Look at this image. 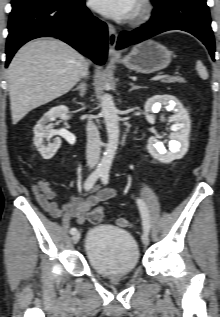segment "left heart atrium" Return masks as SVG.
<instances>
[{
    "instance_id": "obj_1",
    "label": "left heart atrium",
    "mask_w": 220,
    "mask_h": 317,
    "mask_svg": "<svg viewBox=\"0 0 220 317\" xmlns=\"http://www.w3.org/2000/svg\"><path fill=\"white\" fill-rule=\"evenodd\" d=\"M138 0H89L90 6L99 13L114 19L131 17Z\"/></svg>"
}]
</instances>
